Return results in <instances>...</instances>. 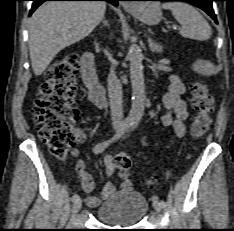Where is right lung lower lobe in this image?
<instances>
[{
  "instance_id": "1",
  "label": "right lung lower lobe",
  "mask_w": 234,
  "mask_h": 231,
  "mask_svg": "<svg viewBox=\"0 0 234 231\" xmlns=\"http://www.w3.org/2000/svg\"><path fill=\"white\" fill-rule=\"evenodd\" d=\"M32 1H33V5H32V8L30 10V15L34 12V10L39 5H41L45 1H92V0H32ZM95 1H107L111 4H113L114 6H117L119 0H95Z\"/></svg>"
}]
</instances>
